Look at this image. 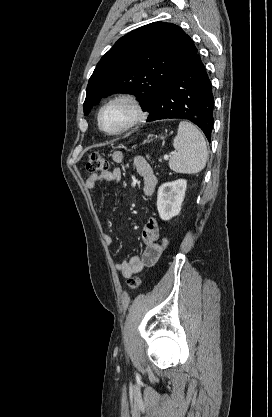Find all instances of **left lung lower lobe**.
<instances>
[{
  "instance_id": "0a47b994",
  "label": "left lung lower lobe",
  "mask_w": 272,
  "mask_h": 417,
  "mask_svg": "<svg viewBox=\"0 0 272 417\" xmlns=\"http://www.w3.org/2000/svg\"><path fill=\"white\" fill-rule=\"evenodd\" d=\"M213 111L212 85L196 53L177 71L157 97L147 121L186 119L200 127L210 140L214 124Z\"/></svg>"
}]
</instances>
